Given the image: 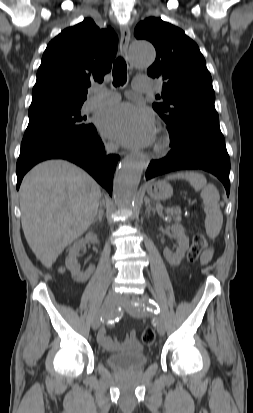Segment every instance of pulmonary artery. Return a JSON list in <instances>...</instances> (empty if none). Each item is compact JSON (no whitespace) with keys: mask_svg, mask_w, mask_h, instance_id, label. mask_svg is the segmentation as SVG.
I'll use <instances>...</instances> for the list:
<instances>
[{"mask_svg":"<svg viewBox=\"0 0 253 413\" xmlns=\"http://www.w3.org/2000/svg\"><path fill=\"white\" fill-rule=\"evenodd\" d=\"M151 84L145 82L142 86L136 87L137 90L145 92L150 90ZM119 100V96L106 90L94 89L93 95L85 104L86 110H94L109 106L116 103Z\"/></svg>","mask_w":253,"mask_h":413,"instance_id":"obj_1","label":"pulmonary artery"}]
</instances>
